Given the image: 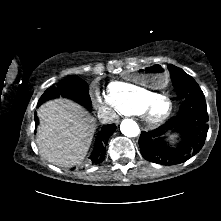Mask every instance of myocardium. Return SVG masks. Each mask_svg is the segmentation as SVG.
Masks as SVG:
<instances>
[{
  "label": "myocardium",
  "mask_w": 221,
  "mask_h": 221,
  "mask_svg": "<svg viewBox=\"0 0 221 221\" xmlns=\"http://www.w3.org/2000/svg\"><path fill=\"white\" fill-rule=\"evenodd\" d=\"M162 100H166L169 102V110L163 114V115H155L154 114V109L156 107V105L162 101ZM174 111V103L172 101V99L165 94H157L155 97H153L151 100H149L147 103H145L142 107L141 112L144 114L146 120L150 123H160L165 121L166 119H168L171 114Z\"/></svg>",
  "instance_id": "1"
}]
</instances>
